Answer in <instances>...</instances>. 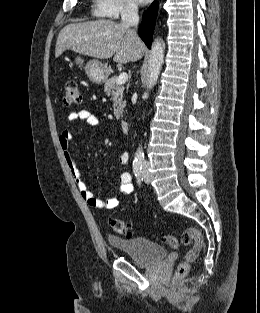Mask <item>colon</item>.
<instances>
[{
  "mask_svg": "<svg viewBox=\"0 0 260 313\" xmlns=\"http://www.w3.org/2000/svg\"><path fill=\"white\" fill-rule=\"evenodd\" d=\"M82 96L79 90L78 84L74 81H68L64 85L63 103L65 105H75L81 102ZM110 224L113 230L120 235L130 237L133 234V228L127 222L112 218ZM164 240L172 247L179 248L181 246H187L194 242L191 249H189L184 259L179 263L175 279H180L186 276L191 268V264L198 258L203 247V236L198 229L188 228L183 231L180 237L173 235H166Z\"/></svg>",
  "mask_w": 260,
  "mask_h": 313,
  "instance_id": "obj_1",
  "label": "colon"
}]
</instances>
